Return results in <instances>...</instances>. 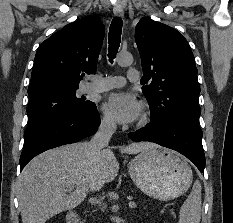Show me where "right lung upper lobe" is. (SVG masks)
Wrapping results in <instances>:
<instances>
[{
    "mask_svg": "<svg viewBox=\"0 0 233 223\" xmlns=\"http://www.w3.org/2000/svg\"><path fill=\"white\" fill-rule=\"evenodd\" d=\"M103 38L104 26L96 16L83 17L53 34L36 52L28 94L79 87L85 73H96Z\"/></svg>",
    "mask_w": 233,
    "mask_h": 223,
    "instance_id": "1",
    "label": "right lung upper lobe"
}]
</instances>
